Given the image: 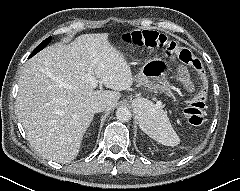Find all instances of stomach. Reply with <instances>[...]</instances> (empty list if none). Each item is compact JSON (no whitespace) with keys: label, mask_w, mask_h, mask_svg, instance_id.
Instances as JSON below:
<instances>
[{"label":"stomach","mask_w":240,"mask_h":191,"mask_svg":"<svg viewBox=\"0 0 240 191\" xmlns=\"http://www.w3.org/2000/svg\"><path fill=\"white\" fill-rule=\"evenodd\" d=\"M169 64L162 59H150L140 68L138 74L133 78L139 85L147 87L149 89L157 90H169L170 82L167 79V70ZM145 109H138L137 116L139 124L144 116Z\"/></svg>","instance_id":"1"}]
</instances>
